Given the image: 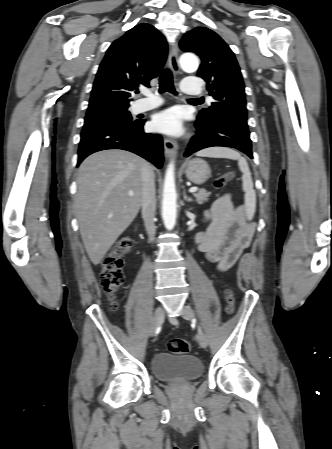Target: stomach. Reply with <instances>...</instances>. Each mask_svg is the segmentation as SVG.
Segmentation results:
<instances>
[{"instance_id":"stomach-1","label":"stomach","mask_w":332,"mask_h":449,"mask_svg":"<svg viewBox=\"0 0 332 449\" xmlns=\"http://www.w3.org/2000/svg\"><path fill=\"white\" fill-rule=\"evenodd\" d=\"M183 168L187 179L197 185L205 183L211 177L209 165L200 158L187 161Z\"/></svg>"}]
</instances>
